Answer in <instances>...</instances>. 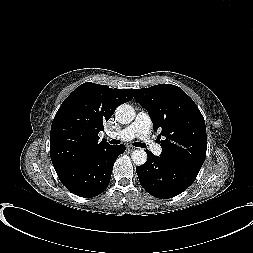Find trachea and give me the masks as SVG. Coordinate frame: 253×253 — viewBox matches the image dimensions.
<instances>
[{
	"mask_svg": "<svg viewBox=\"0 0 253 253\" xmlns=\"http://www.w3.org/2000/svg\"><path fill=\"white\" fill-rule=\"evenodd\" d=\"M120 143V141L119 140H116V139H112L111 141H110V144H113V145H117V144H119ZM135 147H141V148H144L146 145L145 144H143V143H139V142H135L134 144H133Z\"/></svg>",
	"mask_w": 253,
	"mask_h": 253,
	"instance_id": "1",
	"label": "trachea"
}]
</instances>
